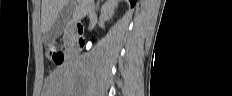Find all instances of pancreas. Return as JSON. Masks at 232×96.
<instances>
[{
  "mask_svg": "<svg viewBox=\"0 0 232 96\" xmlns=\"http://www.w3.org/2000/svg\"><path fill=\"white\" fill-rule=\"evenodd\" d=\"M65 44H66L67 46H69V45L71 44V41H69L68 39H66V40H65Z\"/></svg>",
  "mask_w": 232,
  "mask_h": 96,
  "instance_id": "1",
  "label": "pancreas"
}]
</instances>
